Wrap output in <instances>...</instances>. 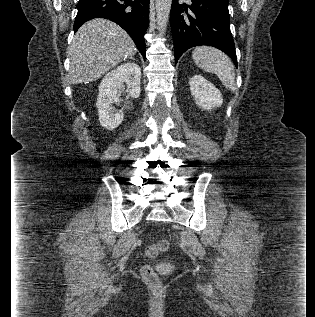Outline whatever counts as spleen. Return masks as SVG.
I'll return each mask as SVG.
<instances>
[{
  "label": "spleen",
  "instance_id": "1",
  "mask_svg": "<svg viewBox=\"0 0 315 317\" xmlns=\"http://www.w3.org/2000/svg\"><path fill=\"white\" fill-rule=\"evenodd\" d=\"M192 58L199 68L216 74L227 89L235 90L234 65L222 51L213 47L200 46L194 49Z\"/></svg>",
  "mask_w": 315,
  "mask_h": 317
}]
</instances>
